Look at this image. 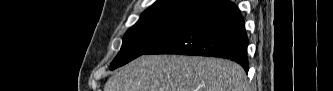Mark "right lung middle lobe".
Instances as JSON below:
<instances>
[{
  "instance_id": "obj_1",
  "label": "right lung middle lobe",
  "mask_w": 333,
  "mask_h": 91,
  "mask_svg": "<svg viewBox=\"0 0 333 91\" xmlns=\"http://www.w3.org/2000/svg\"><path fill=\"white\" fill-rule=\"evenodd\" d=\"M213 0H206L200 7L205 10L212 6ZM191 19L176 17L140 18L124 35L120 52L111 63L110 69L120 67L129 61L145 54L157 46Z\"/></svg>"
}]
</instances>
